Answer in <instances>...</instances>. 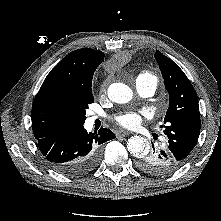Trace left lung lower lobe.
<instances>
[{"label": "left lung lower lobe", "mask_w": 221, "mask_h": 221, "mask_svg": "<svg viewBox=\"0 0 221 221\" xmlns=\"http://www.w3.org/2000/svg\"><path fill=\"white\" fill-rule=\"evenodd\" d=\"M184 162L177 159L167 143L153 144L151 152L138 158L137 167L149 174L167 175L178 170Z\"/></svg>", "instance_id": "obj_1"}]
</instances>
